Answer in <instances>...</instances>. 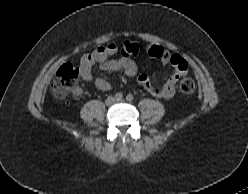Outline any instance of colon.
Listing matches in <instances>:
<instances>
[{"label":"colon","instance_id":"obj_1","mask_svg":"<svg viewBox=\"0 0 248 194\" xmlns=\"http://www.w3.org/2000/svg\"><path fill=\"white\" fill-rule=\"evenodd\" d=\"M79 69L72 64H63L57 71L53 83L52 92L58 99H64L75 87L79 77ZM195 82L191 77H183L179 83V91L189 96L195 91Z\"/></svg>","mask_w":248,"mask_h":194}]
</instances>
